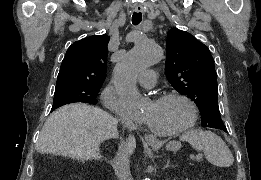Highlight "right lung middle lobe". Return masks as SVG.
Masks as SVG:
<instances>
[{
	"label": "right lung middle lobe",
	"instance_id": "dd1d6c3e",
	"mask_svg": "<svg viewBox=\"0 0 261 180\" xmlns=\"http://www.w3.org/2000/svg\"><path fill=\"white\" fill-rule=\"evenodd\" d=\"M102 85L67 84L56 86L52 111L63 105L84 102L95 105L96 97Z\"/></svg>",
	"mask_w": 261,
	"mask_h": 180
}]
</instances>
